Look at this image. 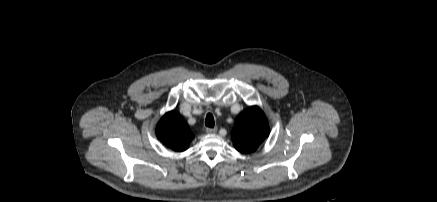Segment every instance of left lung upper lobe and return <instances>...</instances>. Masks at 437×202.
Wrapping results in <instances>:
<instances>
[{
  "mask_svg": "<svg viewBox=\"0 0 437 202\" xmlns=\"http://www.w3.org/2000/svg\"><path fill=\"white\" fill-rule=\"evenodd\" d=\"M269 125L263 111L252 106L236 119L232 130L235 148L242 153L254 152L269 135Z\"/></svg>",
  "mask_w": 437,
  "mask_h": 202,
  "instance_id": "obj_1",
  "label": "left lung upper lobe"
}]
</instances>
